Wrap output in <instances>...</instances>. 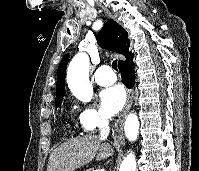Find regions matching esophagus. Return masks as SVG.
I'll list each match as a JSON object with an SVG mask.
<instances>
[{"instance_id": "obj_1", "label": "esophagus", "mask_w": 199, "mask_h": 171, "mask_svg": "<svg viewBox=\"0 0 199 171\" xmlns=\"http://www.w3.org/2000/svg\"><path fill=\"white\" fill-rule=\"evenodd\" d=\"M133 97H134V92L132 89L128 90V96H127V101L125 104V107L123 109L122 114L118 118L116 122V131H117V137L115 139V144L118 146H121L125 142V138L123 135V125H124V120L126 118L127 113L129 112L132 102H133Z\"/></svg>"}]
</instances>
